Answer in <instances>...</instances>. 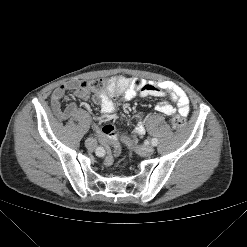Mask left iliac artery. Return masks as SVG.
I'll return each mask as SVG.
<instances>
[{
	"label": "left iliac artery",
	"mask_w": 247,
	"mask_h": 247,
	"mask_svg": "<svg viewBox=\"0 0 247 247\" xmlns=\"http://www.w3.org/2000/svg\"><path fill=\"white\" fill-rule=\"evenodd\" d=\"M151 143L153 146H157L158 140L156 138H152Z\"/></svg>",
	"instance_id": "obj_1"
}]
</instances>
